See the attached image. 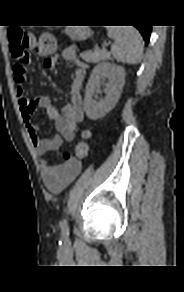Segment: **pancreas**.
Wrapping results in <instances>:
<instances>
[{"mask_svg": "<svg viewBox=\"0 0 184 292\" xmlns=\"http://www.w3.org/2000/svg\"><path fill=\"white\" fill-rule=\"evenodd\" d=\"M80 57L88 63H98L110 59V54L104 49H95L80 54Z\"/></svg>", "mask_w": 184, "mask_h": 292, "instance_id": "pancreas-1", "label": "pancreas"}]
</instances>
